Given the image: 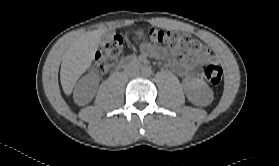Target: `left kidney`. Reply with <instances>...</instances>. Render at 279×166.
<instances>
[{"label": "left kidney", "mask_w": 279, "mask_h": 166, "mask_svg": "<svg viewBox=\"0 0 279 166\" xmlns=\"http://www.w3.org/2000/svg\"><path fill=\"white\" fill-rule=\"evenodd\" d=\"M187 99L195 105L209 104L213 99V91L209 85L201 79H186L183 82Z\"/></svg>", "instance_id": "1"}]
</instances>
